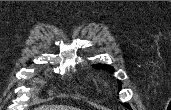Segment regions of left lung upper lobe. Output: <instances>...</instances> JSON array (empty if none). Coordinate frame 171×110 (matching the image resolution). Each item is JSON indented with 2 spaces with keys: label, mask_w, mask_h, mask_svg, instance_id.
Segmentation results:
<instances>
[{
  "label": "left lung upper lobe",
  "mask_w": 171,
  "mask_h": 110,
  "mask_svg": "<svg viewBox=\"0 0 171 110\" xmlns=\"http://www.w3.org/2000/svg\"><path fill=\"white\" fill-rule=\"evenodd\" d=\"M94 67L98 68V69H105V70H108L110 71L111 73H113L114 69L113 67L109 66V65H106V64H97L95 65ZM119 83V91L121 90V82H118ZM125 107L127 108H130V105L125 103L123 104Z\"/></svg>",
  "instance_id": "1"
}]
</instances>
